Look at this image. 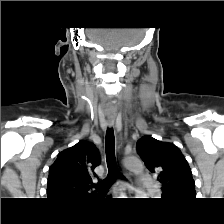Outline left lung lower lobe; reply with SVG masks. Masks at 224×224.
Listing matches in <instances>:
<instances>
[{"instance_id":"left-lung-lower-lobe-1","label":"left lung lower lobe","mask_w":224,"mask_h":224,"mask_svg":"<svg viewBox=\"0 0 224 224\" xmlns=\"http://www.w3.org/2000/svg\"><path fill=\"white\" fill-rule=\"evenodd\" d=\"M163 199H166V200H179V199H182V198H177V197H164L162 196Z\"/></svg>"}]
</instances>
